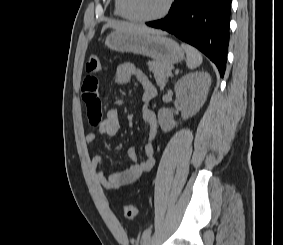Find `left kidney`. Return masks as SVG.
I'll use <instances>...</instances> for the list:
<instances>
[{
	"mask_svg": "<svg viewBox=\"0 0 283 245\" xmlns=\"http://www.w3.org/2000/svg\"><path fill=\"white\" fill-rule=\"evenodd\" d=\"M211 76L207 72H192L184 75L175 85L176 98L184 120L195 115L206 101ZM158 121L164 132L176 126L173 112L167 108L158 111Z\"/></svg>",
	"mask_w": 283,
	"mask_h": 245,
	"instance_id": "1",
	"label": "left kidney"
}]
</instances>
